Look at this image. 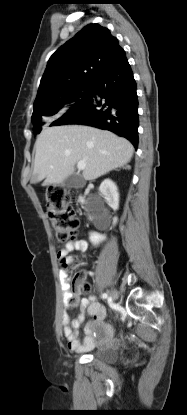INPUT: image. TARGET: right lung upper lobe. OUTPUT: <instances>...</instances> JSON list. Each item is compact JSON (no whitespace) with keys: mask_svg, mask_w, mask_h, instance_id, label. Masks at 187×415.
Returning <instances> with one entry per match:
<instances>
[{"mask_svg":"<svg viewBox=\"0 0 187 415\" xmlns=\"http://www.w3.org/2000/svg\"><path fill=\"white\" fill-rule=\"evenodd\" d=\"M123 51L107 28L85 26L50 57L33 108L54 103L68 91L92 83Z\"/></svg>","mask_w":187,"mask_h":415,"instance_id":"1","label":"right lung upper lobe"}]
</instances>
